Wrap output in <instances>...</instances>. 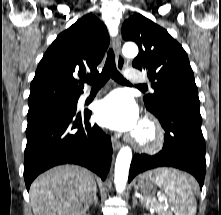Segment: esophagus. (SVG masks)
I'll list each match as a JSON object with an SVG mask.
<instances>
[{
	"label": "esophagus",
	"instance_id": "34e87169",
	"mask_svg": "<svg viewBox=\"0 0 221 215\" xmlns=\"http://www.w3.org/2000/svg\"><path fill=\"white\" fill-rule=\"evenodd\" d=\"M113 45L116 57V65L119 70H123L125 67V59L121 53V40L120 36L116 35L113 37ZM112 146L114 150H118L121 147V142L116 138H112Z\"/></svg>",
	"mask_w": 221,
	"mask_h": 215
}]
</instances>
